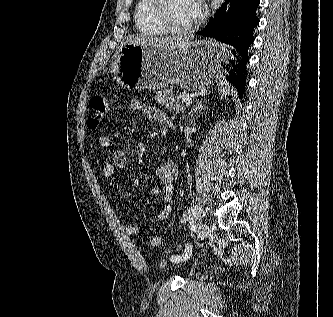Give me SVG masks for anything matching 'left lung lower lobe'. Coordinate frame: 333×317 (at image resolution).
I'll return each mask as SVG.
<instances>
[{"mask_svg":"<svg viewBox=\"0 0 333 317\" xmlns=\"http://www.w3.org/2000/svg\"><path fill=\"white\" fill-rule=\"evenodd\" d=\"M259 4L260 0H231L228 13L225 12V3L197 33L234 47L233 56L230 55L224 68L228 72L226 79L237 88L240 97L243 96L246 85L248 48L254 41L253 30L259 24L256 15Z\"/></svg>","mask_w":333,"mask_h":317,"instance_id":"obj_1","label":"left lung lower lobe"}]
</instances>
